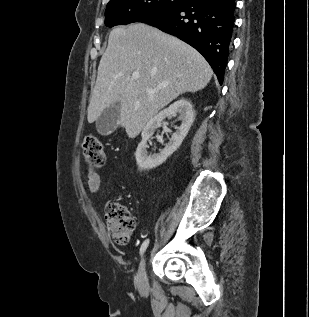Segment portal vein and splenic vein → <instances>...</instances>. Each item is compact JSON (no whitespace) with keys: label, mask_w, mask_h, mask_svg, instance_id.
<instances>
[{"label":"portal vein and splenic vein","mask_w":309,"mask_h":317,"mask_svg":"<svg viewBox=\"0 0 309 317\" xmlns=\"http://www.w3.org/2000/svg\"><path fill=\"white\" fill-rule=\"evenodd\" d=\"M132 78L133 79H138L139 78V73H137V72H134L133 74H132ZM157 90H148V92H150V93H155Z\"/></svg>","instance_id":"portal-vein-and-splenic-vein-1"}]
</instances>
